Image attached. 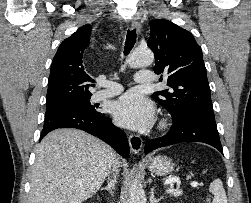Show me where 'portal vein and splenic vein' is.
<instances>
[{"label": "portal vein and splenic vein", "instance_id": "obj_1", "mask_svg": "<svg viewBox=\"0 0 251 203\" xmlns=\"http://www.w3.org/2000/svg\"><path fill=\"white\" fill-rule=\"evenodd\" d=\"M179 182H180L179 178L174 177V178L167 179L164 184H171V183L179 184ZM190 184L192 187H197L199 185L198 182H195V181L191 182Z\"/></svg>", "mask_w": 251, "mask_h": 203}]
</instances>
